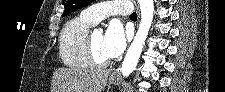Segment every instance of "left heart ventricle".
I'll use <instances>...</instances> for the list:
<instances>
[{"label":"left heart ventricle","instance_id":"1","mask_svg":"<svg viewBox=\"0 0 225 92\" xmlns=\"http://www.w3.org/2000/svg\"><path fill=\"white\" fill-rule=\"evenodd\" d=\"M103 37L102 33H96L91 35V40L97 56L102 60H107L108 58L103 52Z\"/></svg>","mask_w":225,"mask_h":92}]
</instances>
